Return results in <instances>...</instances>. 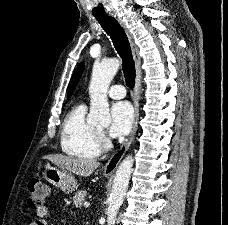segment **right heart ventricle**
I'll use <instances>...</instances> for the list:
<instances>
[{
	"instance_id": "1",
	"label": "right heart ventricle",
	"mask_w": 228,
	"mask_h": 225,
	"mask_svg": "<svg viewBox=\"0 0 228 225\" xmlns=\"http://www.w3.org/2000/svg\"><path fill=\"white\" fill-rule=\"evenodd\" d=\"M86 107L79 103L67 113L61 132L60 147L65 155L96 158L101 153L100 134L86 117Z\"/></svg>"
}]
</instances>
